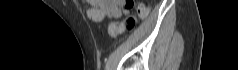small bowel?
I'll use <instances>...</instances> for the list:
<instances>
[{
    "label": "small bowel",
    "mask_w": 238,
    "mask_h": 70,
    "mask_svg": "<svg viewBox=\"0 0 238 70\" xmlns=\"http://www.w3.org/2000/svg\"><path fill=\"white\" fill-rule=\"evenodd\" d=\"M88 4L86 15L94 22H99L105 17L117 19L128 12L123 0H88Z\"/></svg>",
    "instance_id": "c3829d8e"
}]
</instances>
